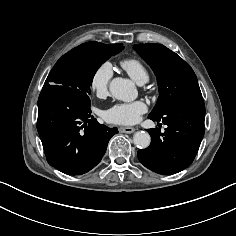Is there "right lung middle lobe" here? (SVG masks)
Segmentation results:
<instances>
[{"instance_id": "right-lung-middle-lobe-1", "label": "right lung middle lobe", "mask_w": 236, "mask_h": 236, "mask_svg": "<svg viewBox=\"0 0 236 236\" xmlns=\"http://www.w3.org/2000/svg\"><path fill=\"white\" fill-rule=\"evenodd\" d=\"M123 45L87 42L63 55L54 65L43 88L64 86L77 97L90 103V87L98 68L111 56L122 51Z\"/></svg>"}]
</instances>
